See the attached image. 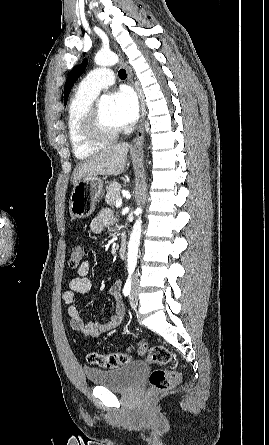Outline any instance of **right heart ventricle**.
I'll return each instance as SVG.
<instances>
[{
    "instance_id": "e07e8e85",
    "label": "right heart ventricle",
    "mask_w": 269,
    "mask_h": 445,
    "mask_svg": "<svg viewBox=\"0 0 269 445\" xmlns=\"http://www.w3.org/2000/svg\"><path fill=\"white\" fill-rule=\"evenodd\" d=\"M96 96L78 88L72 96L67 111V136L74 156L85 160L98 153L106 143H93L82 134V120L94 103Z\"/></svg>"
}]
</instances>
